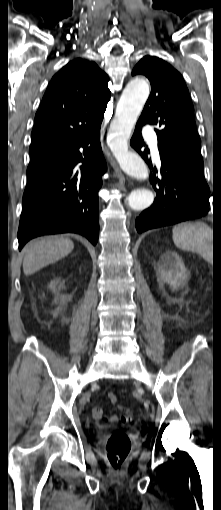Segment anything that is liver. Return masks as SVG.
<instances>
[{
  "mask_svg": "<svg viewBox=\"0 0 221 510\" xmlns=\"http://www.w3.org/2000/svg\"><path fill=\"white\" fill-rule=\"evenodd\" d=\"M74 248L71 239L51 236L29 242L23 249V271L26 276L67 256Z\"/></svg>",
  "mask_w": 221,
  "mask_h": 510,
  "instance_id": "1",
  "label": "liver"
}]
</instances>
